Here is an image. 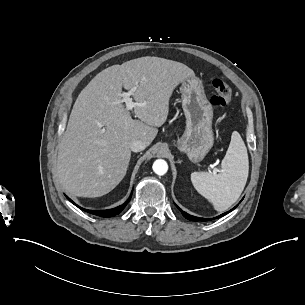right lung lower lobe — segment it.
I'll list each match as a JSON object with an SVG mask.
<instances>
[{
	"instance_id": "right-lung-lower-lobe-1",
	"label": "right lung lower lobe",
	"mask_w": 305,
	"mask_h": 305,
	"mask_svg": "<svg viewBox=\"0 0 305 305\" xmlns=\"http://www.w3.org/2000/svg\"><path fill=\"white\" fill-rule=\"evenodd\" d=\"M68 198V197H67ZM130 198H131V196L128 198V200L124 203V204H122V205H120V206H118V207H116V208H113V209H110V210H99V211H92V210H87V209H83V208H81V207H79L80 209H82V210H84V211H86V212H89V213H91V214H94V215H97V216H101V217H112V216H115V215H117V214H119L125 207H126V205L128 204V202L130 201ZM69 199V198H68ZM70 200V199H69ZM71 201V200H70ZM73 204H75L73 201H71ZM76 205V204H75Z\"/></svg>"
}]
</instances>
